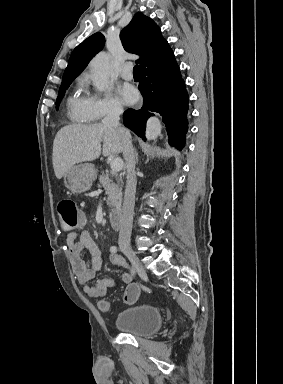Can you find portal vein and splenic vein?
<instances>
[{
    "label": "portal vein and splenic vein",
    "mask_w": 283,
    "mask_h": 384,
    "mask_svg": "<svg viewBox=\"0 0 283 384\" xmlns=\"http://www.w3.org/2000/svg\"><path fill=\"white\" fill-rule=\"evenodd\" d=\"M111 172H120L123 168V162L121 158H114L110 164Z\"/></svg>",
    "instance_id": "1"
}]
</instances>
